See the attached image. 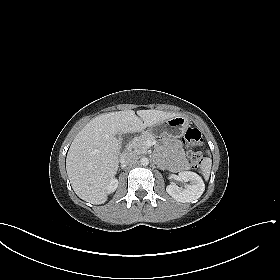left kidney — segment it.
Listing matches in <instances>:
<instances>
[{
    "label": "left kidney",
    "mask_w": 280,
    "mask_h": 280,
    "mask_svg": "<svg viewBox=\"0 0 280 280\" xmlns=\"http://www.w3.org/2000/svg\"><path fill=\"white\" fill-rule=\"evenodd\" d=\"M178 176L181 182H190V184H186L182 188L175 183H171L166 187L167 193L178 202H192L200 198L205 190L202 178L190 171L180 172Z\"/></svg>",
    "instance_id": "left-kidney-1"
}]
</instances>
